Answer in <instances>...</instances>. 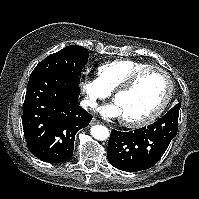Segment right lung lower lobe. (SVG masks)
<instances>
[{"instance_id": "obj_1", "label": "right lung lower lobe", "mask_w": 199, "mask_h": 199, "mask_svg": "<svg viewBox=\"0 0 199 199\" xmlns=\"http://www.w3.org/2000/svg\"><path fill=\"white\" fill-rule=\"evenodd\" d=\"M79 82L61 72L31 75L23 105V130L29 151L59 163L73 156L76 133L92 119L77 99Z\"/></svg>"}]
</instances>
